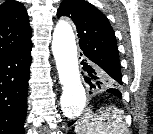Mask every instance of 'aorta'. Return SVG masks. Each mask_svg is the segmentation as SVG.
I'll return each mask as SVG.
<instances>
[{
    "mask_svg": "<svg viewBox=\"0 0 153 134\" xmlns=\"http://www.w3.org/2000/svg\"><path fill=\"white\" fill-rule=\"evenodd\" d=\"M52 52L63 90L61 109L65 117L76 118L83 112L87 97L80 78L75 36L65 21L58 22L54 29Z\"/></svg>",
    "mask_w": 153,
    "mask_h": 134,
    "instance_id": "762f6f07",
    "label": "aorta"
}]
</instances>
